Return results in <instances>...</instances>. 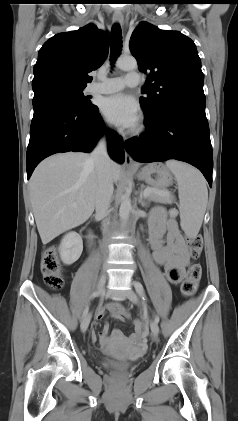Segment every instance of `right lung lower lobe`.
I'll return each mask as SVG.
<instances>
[{
  "mask_svg": "<svg viewBox=\"0 0 238 421\" xmlns=\"http://www.w3.org/2000/svg\"><path fill=\"white\" fill-rule=\"evenodd\" d=\"M34 115L27 149V178L44 158L58 152H90L105 127L96 107L86 111L70 99L43 92L33 98ZM110 157L123 163L125 153L122 138L107 132Z\"/></svg>",
  "mask_w": 238,
  "mask_h": 421,
  "instance_id": "obj_1",
  "label": "right lung lower lobe"
}]
</instances>
